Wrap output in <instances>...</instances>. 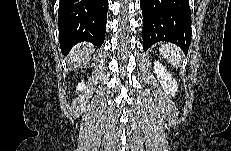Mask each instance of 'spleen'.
Returning a JSON list of instances; mask_svg holds the SVG:
<instances>
[{
	"label": "spleen",
	"instance_id": "obj_1",
	"mask_svg": "<svg viewBox=\"0 0 231 151\" xmlns=\"http://www.w3.org/2000/svg\"><path fill=\"white\" fill-rule=\"evenodd\" d=\"M160 54L164 56L173 66L177 67L181 63V50L179 47L170 44L163 43L159 48Z\"/></svg>",
	"mask_w": 231,
	"mask_h": 151
}]
</instances>
